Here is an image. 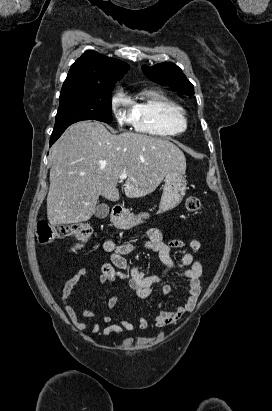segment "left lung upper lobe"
<instances>
[{"label": "left lung upper lobe", "instance_id": "obj_1", "mask_svg": "<svg viewBox=\"0 0 272 411\" xmlns=\"http://www.w3.org/2000/svg\"><path fill=\"white\" fill-rule=\"evenodd\" d=\"M144 74L160 85H168L173 91L193 95L194 87L183 74L182 70L171 62L156 64L152 67L142 66Z\"/></svg>", "mask_w": 272, "mask_h": 411}]
</instances>
